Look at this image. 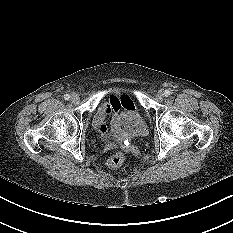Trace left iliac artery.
Returning <instances> with one entry per match:
<instances>
[{
  "mask_svg": "<svg viewBox=\"0 0 233 233\" xmlns=\"http://www.w3.org/2000/svg\"><path fill=\"white\" fill-rule=\"evenodd\" d=\"M170 94H171L170 90H165V91H164V96H165V97L170 96Z\"/></svg>",
  "mask_w": 233,
  "mask_h": 233,
  "instance_id": "1",
  "label": "left iliac artery"
}]
</instances>
